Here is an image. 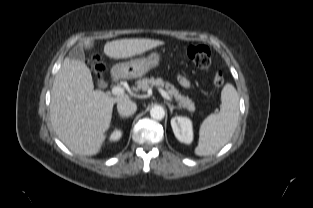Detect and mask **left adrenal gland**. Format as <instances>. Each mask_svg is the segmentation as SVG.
Returning a JSON list of instances; mask_svg holds the SVG:
<instances>
[{"label":"left adrenal gland","instance_id":"obj_1","mask_svg":"<svg viewBox=\"0 0 313 208\" xmlns=\"http://www.w3.org/2000/svg\"><path fill=\"white\" fill-rule=\"evenodd\" d=\"M167 105H168V107H169V109H170V113H171V114L173 113V110H174V109H180V107H176V106H174V105H171V104L168 103V102H167Z\"/></svg>","mask_w":313,"mask_h":208}]
</instances>
